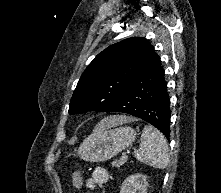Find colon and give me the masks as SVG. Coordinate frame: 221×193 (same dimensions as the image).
<instances>
[{"mask_svg":"<svg viewBox=\"0 0 221 193\" xmlns=\"http://www.w3.org/2000/svg\"><path fill=\"white\" fill-rule=\"evenodd\" d=\"M83 184L82 174L79 170H76L74 172L73 176V186L75 189H80Z\"/></svg>","mask_w":221,"mask_h":193,"instance_id":"colon-1","label":"colon"}]
</instances>
